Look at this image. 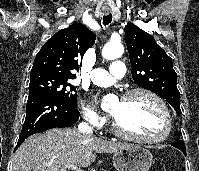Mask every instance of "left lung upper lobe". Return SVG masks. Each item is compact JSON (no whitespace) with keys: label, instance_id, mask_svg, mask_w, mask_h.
Returning <instances> with one entry per match:
<instances>
[{"label":"left lung upper lobe","instance_id":"left-lung-upper-lobe-1","mask_svg":"<svg viewBox=\"0 0 199 171\" xmlns=\"http://www.w3.org/2000/svg\"><path fill=\"white\" fill-rule=\"evenodd\" d=\"M125 42L135 83L166 99L180 115V93L172 59L150 34L133 23L125 27Z\"/></svg>","mask_w":199,"mask_h":171}]
</instances>
